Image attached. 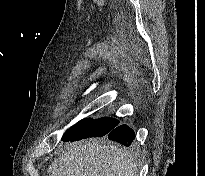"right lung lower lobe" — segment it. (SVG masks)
<instances>
[{
  "label": "right lung lower lobe",
  "mask_w": 205,
  "mask_h": 176,
  "mask_svg": "<svg viewBox=\"0 0 205 176\" xmlns=\"http://www.w3.org/2000/svg\"><path fill=\"white\" fill-rule=\"evenodd\" d=\"M107 136L110 140L119 142L126 147H129L135 139L134 131L131 128H129L127 125L116 126L109 133H107ZM77 140L79 139L71 138L68 141H77Z\"/></svg>",
  "instance_id": "98d812e1"
}]
</instances>
